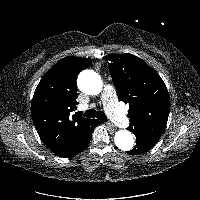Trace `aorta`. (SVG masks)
Listing matches in <instances>:
<instances>
[{
  "label": "aorta",
  "instance_id": "762f6f07",
  "mask_svg": "<svg viewBox=\"0 0 200 200\" xmlns=\"http://www.w3.org/2000/svg\"><path fill=\"white\" fill-rule=\"evenodd\" d=\"M78 87L83 93L97 95L102 91L103 82L95 71L84 70L78 76ZM114 140L116 146L123 151H129L134 146L133 135L128 130L117 131Z\"/></svg>",
  "mask_w": 200,
  "mask_h": 200
}]
</instances>
